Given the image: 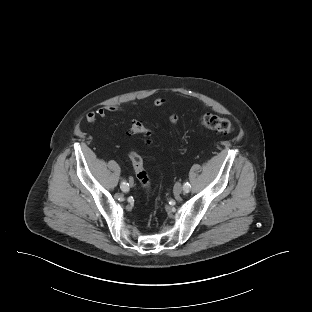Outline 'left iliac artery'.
I'll return each instance as SVG.
<instances>
[{"label":"left iliac artery","mask_w":312,"mask_h":312,"mask_svg":"<svg viewBox=\"0 0 312 312\" xmlns=\"http://www.w3.org/2000/svg\"><path fill=\"white\" fill-rule=\"evenodd\" d=\"M190 184L188 182H185L184 185H183V189L185 192H189L190 190Z\"/></svg>","instance_id":"obj_1"}]
</instances>
